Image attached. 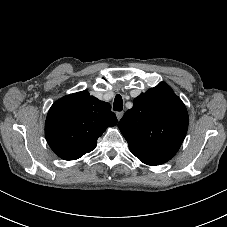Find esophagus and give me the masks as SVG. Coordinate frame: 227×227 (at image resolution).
I'll use <instances>...</instances> for the list:
<instances>
[{
  "label": "esophagus",
  "instance_id": "esophagus-1",
  "mask_svg": "<svg viewBox=\"0 0 227 227\" xmlns=\"http://www.w3.org/2000/svg\"><path fill=\"white\" fill-rule=\"evenodd\" d=\"M123 112H116L117 119L120 120L123 117Z\"/></svg>",
  "mask_w": 227,
  "mask_h": 227
}]
</instances>
